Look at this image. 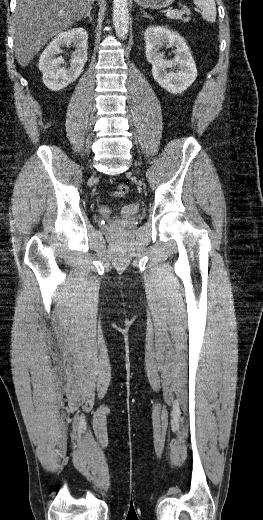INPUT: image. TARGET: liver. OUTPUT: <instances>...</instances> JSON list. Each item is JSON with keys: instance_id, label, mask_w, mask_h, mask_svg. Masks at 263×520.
Segmentation results:
<instances>
[{"instance_id": "1", "label": "liver", "mask_w": 263, "mask_h": 520, "mask_svg": "<svg viewBox=\"0 0 263 520\" xmlns=\"http://www.w3.org/2000/svg\"><path fill=\"white\" fill-rule=\"evenodd\" d=\"M94 0H17L14 11L15 57L26 67L53 37L79 21Z\"/></svg>"}]
</instances>
